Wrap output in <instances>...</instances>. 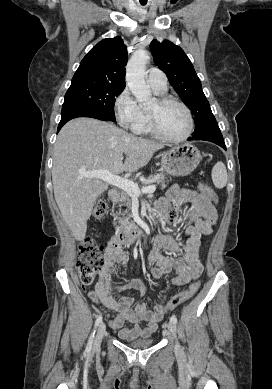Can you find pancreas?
<instances>
[{"label":"pancreas","instance_id":"cf45deb5","mask_svg":"<svg viewBox=\"0 0 272 389\" xmlns=\"http://www.w3.org/2000/svg\"><path fill=\"white\" fill-rule=\"evenodd\" d=\"M153 182L164 188L166 186L167 181L164 174L157 173L155 175H150L149 177H147L143 184L148 185ZM131 204L132 197L125 191H121L119 193L118 199L113 202V205H118L119 207H126V210L124 212H116L113 213V215L115 216L118 224H120V227L125 228L127 230L132 229L134 226V222L131 220V214H128L131 210ZM126 214H128L127 217H125Z\"/></svg>","mask_w":272,"mask_h":389}]
</instances>
